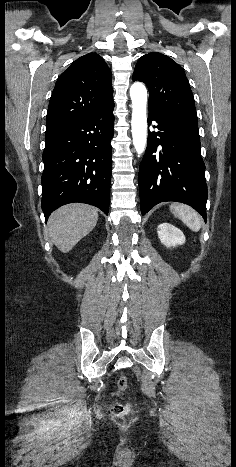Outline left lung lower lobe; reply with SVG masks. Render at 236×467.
<instances>
[{
  "label": "left lung lower lobe",
  "mask_w": 236,
  "mask_h": 467,
  "mask_svg": "<svg viewBox=\"0 0 236 467\" xmlns=\"http://www.w3.org/2000/svg\"><path fill=\"white\" fill-rule=\"evenodd\" d=\"M147 148L139 168L140 208L145 215L164 201L182 202L206 220L205 164L195 113H168L149 109Z\"/></svg>",
  "instance_id": "obj_1"
}]
</instances>
